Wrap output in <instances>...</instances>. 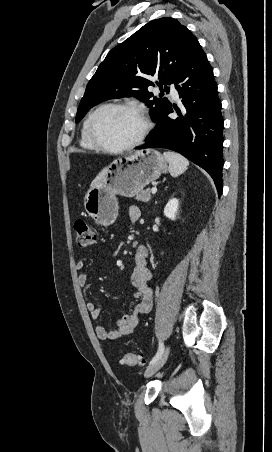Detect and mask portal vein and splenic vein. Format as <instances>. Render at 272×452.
Segmentation results:
<instances>
[{"mask_svg":"<svg viewBox=\"0 0 272 452\" xmlns=\"http://www.w3.org/2000/svg\"><path fill=\"white\" fill-rule=\"evenodd\" d=\"M151 192H152V194H155V193L157 192V188H156V187H153V188L151 189Z\"/></svg>","mask_w":272,"mask_h":452,"instance_id":"1","label":"portal vein and splenic vein"}]
</instances>
